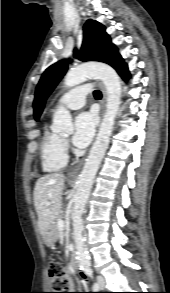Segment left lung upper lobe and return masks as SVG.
Returning a JSON list of instances; mask_svg holds the SVG:
<instances>
[{
    "instance_id": "left-lung-upper-lobe-1",
    "label": "left lung upper lobe",
    "mask_w": 170,
    "mask_h": 293,
    "mask_svg": "<svg viewBox=\"0 0 170 293\" xmlns=\"http://www.w3.org/2000/svg\"><path fill=\"white\" fill-rule=\"evenodd\" d=\"M74 55L82 61H100L111 65L119 53L105 32V27L97 21L88 20L84 25L81 50L79 53L75 50ZM68 63L67 59L61 60L48 67L43 73L33 103L35 120H39L47 97L66 73Z\"/></svg>"
}]
</instances>
